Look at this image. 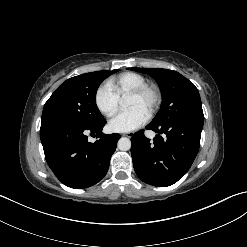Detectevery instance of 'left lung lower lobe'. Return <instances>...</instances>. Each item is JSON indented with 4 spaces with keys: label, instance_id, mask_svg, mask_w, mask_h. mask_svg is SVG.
Segmentation results:
<instances>
[{
    "label": "left lung lower lobe",
    "instance_id": "left-lung-lower-lobe-1",
    "mask_svg": "<svg viewBox=\"0 0 247 247\" xmlns=\"http://www.w3.org/2000/svg\"><path fill=\"white\" fill-rule=\"evenodd\" d=\"M202 127L201 120L177 117L167 124L146 126L158 133L154 142L144 136L143 130L134 133L131 155L139 179L157 187H167L181 179L198 153Z\"/></svg>",
    "mask_w": 247,
    "mask_h": 247
}]
</instances>
